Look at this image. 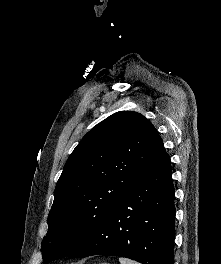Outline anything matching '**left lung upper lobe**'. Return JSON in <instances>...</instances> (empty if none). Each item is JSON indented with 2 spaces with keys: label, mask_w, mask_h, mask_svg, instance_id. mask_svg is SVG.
<instances>
[{
  "label": "left lung upper lobe",
  "mask_w": 221,
  "mask_h": 264,
  "mask_svg": "<svg viewBox=\"0 0 221 264\" xmlns=\"http://www.w3.org/2000/svg\"><path fill=\"white\" fill-rule=\"evenodd\" d=\"M164 152L155 127L137 112H116L92 128L70 154L56 184L41 244L43 262L69 256L85 243Z\"/></svg>",
  "instance_id": "left-lung-upper-lobe-1"
}]
</instances>
